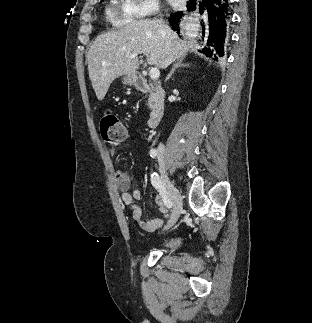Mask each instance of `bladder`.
<instances>
[{
    "instance_id": "bladder-1",
    "label": "bladder",
    "mask_w": 312,
    "mask_h": 323,
    "mask_svg": "<svg viewBox=\"0 0 312 323\" xmlns=\"http://www.w3.org/2000/svg\"><path fill=\"white\" fill-rule=\"evenodd\" d=\"M173 246L172 245H169V248H172Z\"/></svg>"
}]
</instances>
